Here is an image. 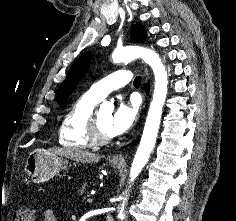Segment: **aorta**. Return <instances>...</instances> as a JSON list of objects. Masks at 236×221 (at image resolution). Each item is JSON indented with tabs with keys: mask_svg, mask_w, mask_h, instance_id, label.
<instances>
[{
	"mask_svg": "<svg viewBox=\"0 0 236 221\" xmlns=\"http://www.w3.org/2000/svg\"><path fill=\"white\" fill-rule=\"evenodd\" d=\"M139 57L152 68L155 77V87L140 145L131 165V182H133L140 174L148 162L150 153L155 146L168 86V75L166 68L155 51L145 47L127 46L120 50L114 51L112 54V59L115 63L132 61ZM113 109L114 106L112 103L104 102L99 108L98 115L111 114ZM123 210L124 202L118 214L119 218L123 217Z\"/></svg>",
	"mask_w": 236,
	"mask_h": 221,
	"instance_id": "aorta-1",
	"label": "aorta"
}]
</instances>
